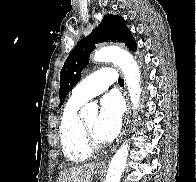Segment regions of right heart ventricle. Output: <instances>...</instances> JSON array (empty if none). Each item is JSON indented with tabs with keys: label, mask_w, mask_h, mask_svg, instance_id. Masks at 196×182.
<instances>
[{
	"label": "right heart ventricle",
	"mask_w": 196,
	"mask_h": 182,
	"mask_svg": "<svg viewBox=\"0 0 196 182\" xmlns=\"http://www.w3.org/2000/svg\"><path fill=\"white\" fill-rule=\"evenodd\" d=\"M83 103L73 97L68 100L58 130L64 156L69 162L76 164L88 160L92 152L86 146L82 135L79 109Z\"/></svg>",
	"instance_id": "obj_1"
}]
</instances>
